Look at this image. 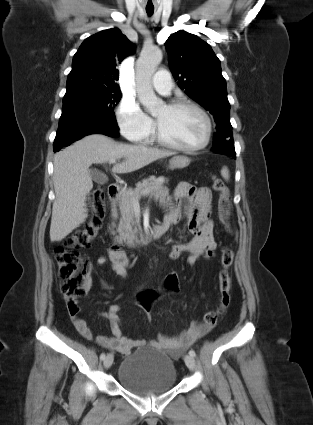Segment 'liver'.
<instances>
[{
	"instance_id": "6515ba94",
	"label": "liver",
	"mask_w": 313,
	"mask_h": 425,
	"mask_svg": "<svg viewBox=\"0 0 313 425\" xmlns=\"http://www.w3.org/2000/svg\"><path fill=\"white\" fill-rule=\"evenodd\" d=\"M174 155V152L142 145L117 143L107 136L92 134L54 156L56 198L50 225L51 242H59L88 217L86 196L93 188L91 164L124 158L113 167L116 173H131L150 163Z\"/></svg>"
}]
</instances>
